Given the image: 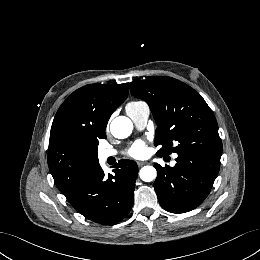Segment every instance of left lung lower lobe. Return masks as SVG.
Segmentation results:
<instances>
[{
    "instance_id": "left-lung-lower-lobe-1",
    "label": "left lung lower lobe",
    "mask_w": 260,
    "mask_h": 260,
    "mask_svg": "<svg viewBox=\"0 0 260 260\" xmlns=\"http://www.w3.org/2000/svg\"><path fill=\"white\" fill-rule=\"evenodd\" d=\"M221 153L186 151L179 153L174 167L155 164L154 188L160 205L171 213L195 209L208 196L218 174Z\"/></svg>"
}]
</instances>
